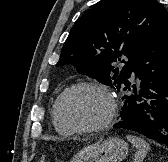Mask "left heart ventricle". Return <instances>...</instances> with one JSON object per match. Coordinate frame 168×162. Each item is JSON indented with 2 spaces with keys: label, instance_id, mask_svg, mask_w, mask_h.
<instances>
[{
  "label": "left heart ventricle",
  "instance_id": "obj_1",
  "mask_svg": "<svg viewBox=\"0 0 168 162\" xmlns=\"http://www.w3.org/2000/svg\"><path fill=\"white\" fill-rule=\"evenodd\" d=\"M62 112L73 124L95 125L106 119L110 112V103L102 93L83 88L65 97Z\"/></svg>",
  "mask_w": 168,
  "mask_h": 162
}]
</instances>
